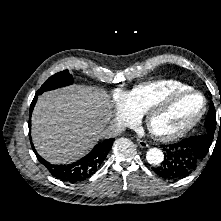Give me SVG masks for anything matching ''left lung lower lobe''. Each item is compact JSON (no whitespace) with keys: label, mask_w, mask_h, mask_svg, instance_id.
Segmentation results:
<instances>
[{"label":"left lung lower lobe","mask_w":221,"mask_h":221,"mask_svg":"<svg viewBox=\"0 0 221 221\" xmlns=\"http://www.w3.org/2000/svg\"><path fill=\"white\" fill-rule=\"evenodd\" d=\"M206 142L196 136L186 138L178 143L169 145L163 162L153 171L168 180H177L191 174L207 154Z\"/></svg>","instance_id":"1"}]
</instances>
